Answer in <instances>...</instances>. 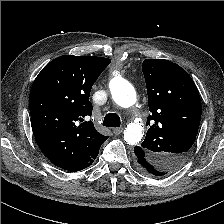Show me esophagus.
Wrapping results in <instances>:
<instances>
[{
  "label": "esophagus",
  "mask_w": 224,
  "mask_h": 224,
  "mask_svg": "<svg viewBox=\"0 0 224 224\" xmlns=\"http://www.w3.org/2000/svg\"><path fill=\"white\" fill-rule=\"evenodd\" d=\"M123 132V128H114L113 129V133L115 134V135H119V134H121Z\"/></svg>",
  "instance_id": "34e87169"
}]
</instances>
